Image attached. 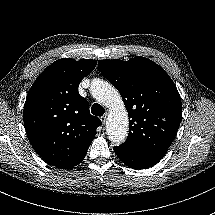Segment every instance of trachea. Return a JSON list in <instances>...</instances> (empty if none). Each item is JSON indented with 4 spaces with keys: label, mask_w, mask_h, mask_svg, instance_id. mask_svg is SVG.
<instances>
[{
    "label": "trachea",
    "mask_w": 215,
    "mask_h": 215,
    "mask_svg": "<svg viewBox=\"0 0 215 215\" xmlns=\"http://www.w3.org/2000/svg\"><path fill=\"white\" fill-rule=\"evenodd\" d=\"M105 112V109L102 105L98 104V103H94L91 107V113L95 116H102Z\"/></svg>",
    "instance_id": "1"
}]
</instances>
